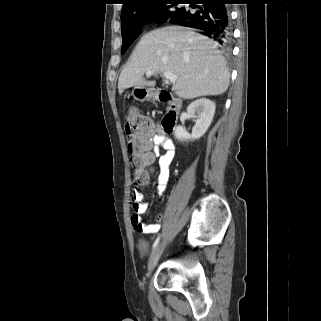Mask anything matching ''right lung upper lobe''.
Returning a JSON list of instances; mask_svg holds the SVG:
<instances>
[{
    "label": "right lung upper lobe",
    "mask_w": 321,
    "mask_h": 321,
    "mask_svg": "<svg viewBox=\"0 0 321 321\" xmlns=\"http://www.w3.org/2000/svg\"><path fill=\"white\" fill-rule=\"evenodd\" d=\"M123 8L121 12V18L131 15L133 13L138 12L139 10L149 6L153 5L156 2L162 1V0H123Z\"/></svg>",
    "instance_id": "cb5924a9"
}]
</instances>
